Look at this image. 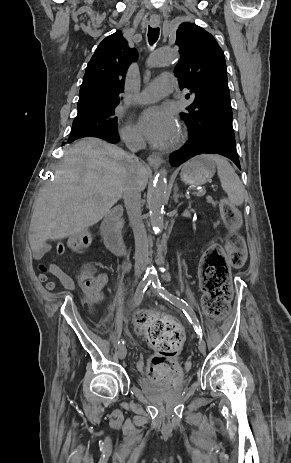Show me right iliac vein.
Wrapping results in <instances>:
<instances>
[{
  "instance_id": "63e3f726",
  "label": "right iliac vein",
  "mask_w": 291,
  "mask_h": 463,
  "mask_svg": "<svg viewBox=\"0 0 291 463\" xmlns=\"http://www.w3.org/2000/svg\"><path fill=\"white\" fill-rule=\"evenodd\" d=\"M126 354H127V350H126V347L125 346H120L119 349H118V356L120 359H125L126 357Z\"/></svg>"
}]
</instances>
